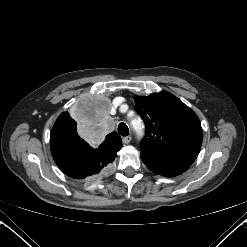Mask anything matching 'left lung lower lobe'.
Wrapping results in <instances>:
<instances>
[{"label":"left lung lower lobe","mask_w":247,"mask_h":247,"mask_svg":"<svg viewBox=\"0 0 247 247\" xmlns=\"http://www.w3.org/2000/svg\"><path fill=\"white\" fill-rule=\"evenodd\" d=\"M146 166L153 172L166 177H173L186 171L194 159H163L140 155Z\"/></svg>","instance_id":"0a47b994"}]
</instances>
